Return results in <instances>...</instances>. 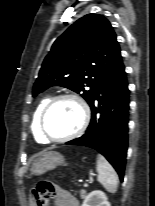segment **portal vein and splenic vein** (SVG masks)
<instances>
[{"mask_svg":"<svg viewBox=\"0 0 155 206\" xmlns=\"http://www.w3.org/2000/svg\"><path fill=\"white\" fill-rule=\"evenodd\" d=\"M84 187H88V184H87V183H85V184H84Z\"/></svg>","mask_w":155,"mask_h":206,"instance_id":"portal-vein-and-splenic-vein-1","label":"portal vein and splenic vein"}]
</instances>
